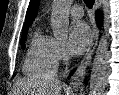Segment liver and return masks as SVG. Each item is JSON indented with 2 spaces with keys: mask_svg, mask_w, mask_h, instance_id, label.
Returning <instances> with one entry per match:
<instances>
[{
  "mask_svg": "<svg viewBox=\"0 0 119 95\" xmlns=\"http://www.w3.org/2000/svg\"><path fill=\"white\" fill-rule=\"evenodd\" d=\"M18 86L26 90V92L32 86L35 95H61L62 90V83L59 80L46 77H40L35 83H29L25 80L20 82Z\"/></svg>",
  "mask_w": 119,
  "mask_h": 95,
  "instance_id": "liver-1",
  "label": "liver"
}]
</instances>
